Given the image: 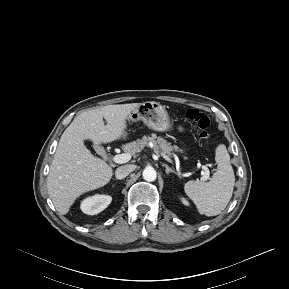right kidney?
<instances>
[{
  "mask_svg": "<svg viewBox=\"0 0 289 289\" xmlns=\"http://www.w3.org/2000/svg\"><path fill=\"white\" fill-rule=\"evenodd\" d=\"M112 198L109 195H94L81 202V210L87 215H96L103 211L111 203Z\"/></svg>",
  "mask_w": 289,
  "mask_h": 289,
  "instance_id": "1",
  "label": "right kidney"
}]
</instances>
